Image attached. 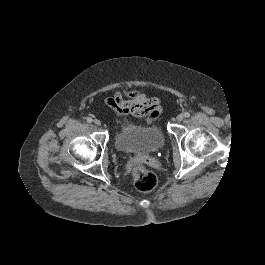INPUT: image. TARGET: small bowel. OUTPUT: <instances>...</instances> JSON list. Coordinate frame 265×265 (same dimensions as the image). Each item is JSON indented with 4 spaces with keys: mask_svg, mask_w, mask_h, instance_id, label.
<instances>
[{
    "mask_svg": "<svg viewBox=\"0 0 265 265\" xmlns=\"http://www.w3.org/2000/svg\"><path fill=\"white\" fill-rule=\"evenodd\" d=\"M107 107L119 118L132 116L136 120L145 119L150 123L158 117L161 111L160 101L147 97L141 90L116 91L105 99Z\"/></svg>",
    "mask_w": 265,
    "mask_h": 265,
    "instance_id": "obj_1",
    "label": "small bowel"
}]
</instances>
